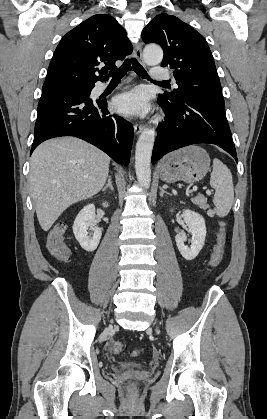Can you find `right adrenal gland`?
I'll use <instances>...</instances> for the list:
<instances>
[{
	"label": "right adrenal gland",
	"instance_id": "2a0ac1e0",
	"mask_svg": "<svg viewBox=\"0 0 267 419\" xmlns=\"http://www.w3.org/2000/svg\"><path fill=\"white\" fill-rule=\"evenodd\" d=\"M107 188H110L112 191H114L113 185H112V180H111V176H108V183L104 186V188L102 189V191L104 192Z\"/></svg>",
	"mask_w": 267,
	"mask_h": 419
}]
</instances>
